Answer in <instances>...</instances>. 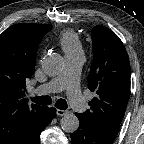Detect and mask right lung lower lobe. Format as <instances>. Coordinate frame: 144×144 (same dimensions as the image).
<instances>
[{
	"label": "right lung lower lobe",
	"mask_w": 144,
	"mask_h": 144,
	"mask_svg": "<svg viewBox=\"0 0 144 144\" xmlns=\"http://www.w3.org/2000/svg\"><path fill=\"white\" fill-rule=\"evenodd\" d=\"M56 115L55 108L45 107L39 116L34 120L25 135L16 144H40L41 131L50 124Z\"/></svg>",
	"instance_id": "obj_1"
}]
</instances>
